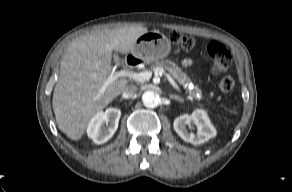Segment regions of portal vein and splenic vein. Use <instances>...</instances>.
Here are the masks:
<instances>
[{"label":"portal vein and splenic vein","instance_id":"1","mask_svg":"<svg viewBox=\"0 0 292 192\" xmlns=\"http://www.w3.org/2000/svg\"><path fill=\"white\" fill-rule=\"evenodd\" d=\"M153 72L156 75H164L169 83L176 89L180 90L174 79L171 77L170 74H168L162 67H157L153 70ZM121 77H128L134 81L138 82H144L149 80L152 77V72L151 71H143V72H134L130 70H120V71H114L113 74L107 78V80L104 82L103 86L100 89L99 95H102L106 88L115 80Z\"/></svg>","mask_w":292,"mask_h":192}]
</instances>
